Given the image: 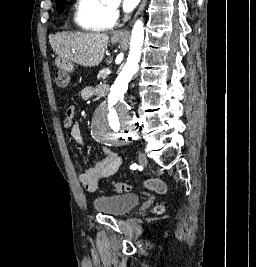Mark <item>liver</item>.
Returning a JSON list of instances; mask_svg holds the SVG:
<instances>
[{"instance_id":"6515ba94","label":"liver","mask_w":256,"mask_h":267,"mask_svg":"<svg viewBox=\"0 0 256 267\" xmlns=\"http://www.w3.org/2000/svg\"><path fill=\"white\" fill-rule=\"evenodd\" d=\"M117 38V32L114 34ZM50 46L66 64L75 62L80 66H99L107 50L109 36L100 32H57L50 34Z\"/></svg>"}]
</instances>
